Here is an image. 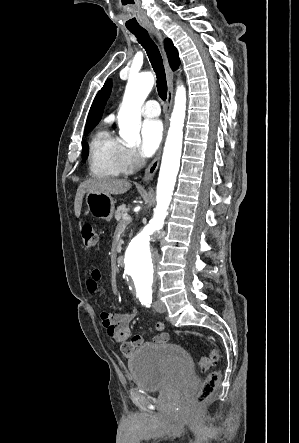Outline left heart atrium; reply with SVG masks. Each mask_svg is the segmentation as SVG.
<instances>
[{
  "label": "left heart atrium",
  "instance_id": "left-heart-atrium-1",
  "mask_svg": "<svg viewBox=\"0 0 299 443\" xmlns=\"http://www.w3.org/2000/svg\"><path fill=\"white\" fill-rule=\"evenodd\" d=\"M163 126L159 119H148L141 126L140 152L144 157H150L158 148L162 139Z\"/></svg>",
  "mask_w": 299,
  "mask_h": 443
}]
</instances>
